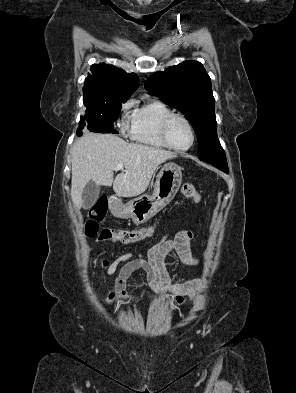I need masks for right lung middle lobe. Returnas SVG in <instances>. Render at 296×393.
<instances>
[{
  "label": "right lung middle lobe",
  "instance_id": "1",
  "mask_svg": "<svg viewBox=\"0 0 296 393\" xmlns=\"http://www.w3.org/2000/svg\"><path fill=\"white\" fill-rule=\"evenodd\" d=\"M126 101L127 99L84 101L87 111L86 114L81 117L79 125L113 129V123L118 118L122 103Z\"/></svg>",
  "mask_w": 296,
  "mask_h": 393
}]
</instances>
